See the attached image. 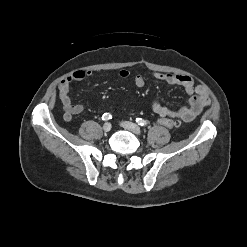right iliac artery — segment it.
Here are the masks:
<instances>
[{
    "label": "right iliac artery",
    "instance_id": "obj_1",
    "mask_svg": "<svg viewBox=\"0 0 247 247\" xmlns=\"http://www.w3.org/2000/svg\"><path fill=\"white\" fill-rule=\"evenodd\" d=\"M111 118H112V115L110 113H104L102 116L103 121H108Z\"/></svg>",
    "mask_w": 247,
    "mask_h": 247
}]
</instances>
